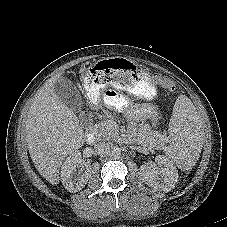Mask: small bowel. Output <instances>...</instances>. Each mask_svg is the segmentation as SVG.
Instances as JSON below:
<instances>
[{"instance_id": "1", "label": "small bowel", "mask_w": 227, "mask_h": 227, "mask_svg": "<svg viewBox=\"0 0 227 227\" xmlns=\"http://www.w3.org/2000/svg\"><path fill=\"white\" fill-rule=\"evenodd\" d=\"M104 102L108 108H112L121 104L122 99L115 94L107 93L105 96Z\"/></svg>"}]
</instances>
